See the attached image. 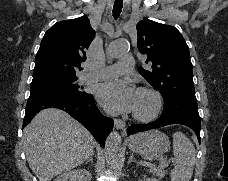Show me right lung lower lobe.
Segmentation results:
<instances>
[{
    "label": "right lung lower lobe",
    "instance_id": "1",
    "mask_svg": "<svg viewBox=\"0 0 228 181\" xmlns=\"http://www.w3.org/2000/svg\"><path fill=\"white\" fill-rule=\"evenodd\" d=\"M51 107L69 113L88 129L100 145L104 147L105 140L113 128L114 121L100 113L94 104L92 95L85 99H73L55 93L30 95L26 105L23 127L31 121L37 112Z\"/></svg>",
    "mask_w": 228,
    "mask_h": 181
}]
</instances>
